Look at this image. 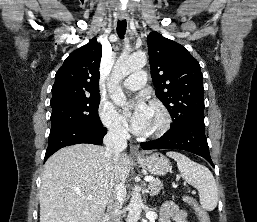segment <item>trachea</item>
I'll return each mask as SVG.
<instances>
[{"label":"trachea","mask_w":257,"mask_h":222,"mask_svg":"<svg viewBox=\"0 0 257 222\" xmlns=\"http://www.w3.org/2000/svg\"><path fill=\"white\" fill-rule=\"evenodd\" d=\"M127 23L126 20H118L117 22V34L123 39L126 32Z\"/></svg>","instance_id":"trachea-1"}]
</instances>
